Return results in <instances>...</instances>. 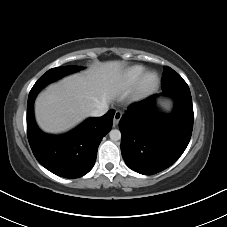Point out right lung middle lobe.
I'll list each match as a JSON object with an SVG mask.
<instances>
[{
    "mask_svg": "<svg viewBox=\"0 0 227 227\" xmlns=\"http://www.w3.org/2000/svg\"><path fill=\"white\" fill-rule=\"evenodd\" d=\"M82 69V67L77 66H62L58 68H52L43 74L38 81L34 84L30 93L39 92L43 89L48 83L53 82L67 74L76 72Z\"/></svg>",
    "mask_w": 227,
    "mask_h": 227,
    "instance_id": "dd1d6c3e",
    "label": "right lung middle lobe"
}]
</instances>
